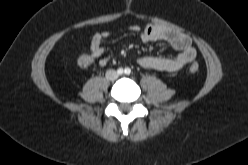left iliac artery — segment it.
<instances>
[{
	"instance_id": "1",
	"label": "left iliac artery",
	"mask_w": 248,
	"mask_h": 165,
	"mask_svg": "<svg viewBox=\"0 0 248 165\" xmlns=\"http://www.w3.org/2000/svg\"><path fill=\"white\" fill-rule=\"evenodd\" d=\"M125 73H126L127 75H129V74L131 73V70H130L129 68H126V69H125Z\"/></svg>"
}]
</instances>
